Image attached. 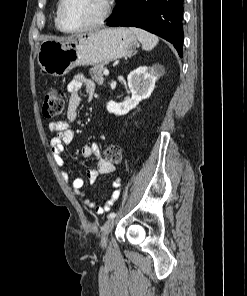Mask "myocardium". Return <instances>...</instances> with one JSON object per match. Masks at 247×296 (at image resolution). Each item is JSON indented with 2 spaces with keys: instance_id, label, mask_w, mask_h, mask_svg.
Returning a JSON list of instances; mask_svg holds the SVG:
<instances>
[{
  "instance_id": "f54148a6",
  "label": "myocardium",
  "mask_w": 247,
  "mask_h": 296,
  "mask_svg": "<svg viewBox=\"0 0 247 296\" xmlns=\"http://www.w3.org/2000/svg\"><path fill=\"white\" fill-rule=\"evenodd\" d=\"M65 2L66 0H60L57 7V11H56L57 27L59 28V30H61L64 33L79 34V33L88 32L98 27H101L106 22L111 12V0H102V5H103L102 12L100 17L96 21L82 28L69 29V28H66L62 22V9Z\"/></svg>"
}]
</instances>
